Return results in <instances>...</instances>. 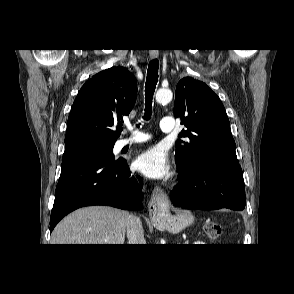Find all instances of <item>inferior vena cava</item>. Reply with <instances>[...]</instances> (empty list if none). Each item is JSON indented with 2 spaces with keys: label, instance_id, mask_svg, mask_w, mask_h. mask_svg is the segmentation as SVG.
I'll list each match as a JSON object with an SVG mask.
<instances>
[{
  "label": "inferior vena cava",
  "instance_id": "obj_1",
  "mask_svg": "<svg viewBox=\"0 0 294 294\" xmlns=\"http://www.w3.org/2000/svg\"><path fill=\"white\" fill-rule=\"evenodd\" d=\"M126 230H127L128 244H134V245L146 244V241L144 238V230H143L142 223L139 217L130 214L128 216Z\"/></svg>",
  "mask_w": 294,
  "mask_h": 294
}]
</instances>
